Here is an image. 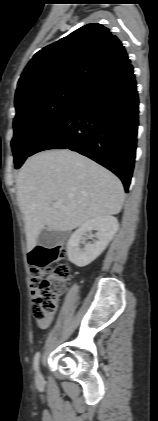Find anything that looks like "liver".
Listing matches in <instances>:
<instances>
[{
	"label": "liver",
	"instance_id": "1",
	"mask_svg": "<svg viewBox=\"0 0 158 421\" xmlns=\"http://www.w3.org/2000/svg\"><path fill=\"white\" fill-rule=\"evenodd\" d=\"M16 185L29 251L43 228L71 231L90 219L118 214L124 202L123 185L114 174L67 149L28 158ZM54 202L64 208H54Z\"/></svg>",
	"mask_w": 158,
	"mask_h": 421
}]
</instances>
